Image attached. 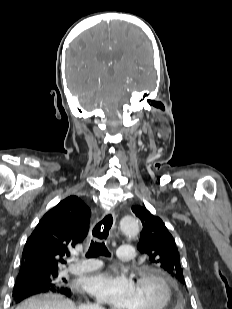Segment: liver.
<instances>
[{
  "label": "liver",
  "mask_w": 232,
  "mask_h": 309,
  "mask_svg": "<svg viewBox=\"0 0 232 309\" xmlns=\"http://www.w3.org/2000/svg\"><path fill=\"white\" fill-rule=\"evenodd\" d=\"M16 309H77L75 304L59 294H41L31 297Z\"/></svg>",
  "instance_id": "1"
}]
</instances>
